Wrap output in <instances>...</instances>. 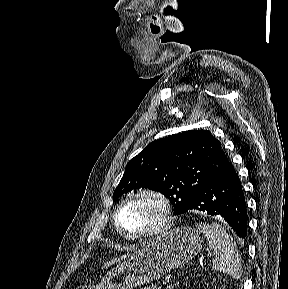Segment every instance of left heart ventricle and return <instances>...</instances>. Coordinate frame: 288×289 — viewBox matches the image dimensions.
<instances>
[{
    "mask_svg": "<svg viewBox=\"0 0 288 289\" xmlns=\"http://www.w3.org/2000/svg\"><path fill=\"white\" fill-rule=\"evenodd\" d=\"M162 218L159 202L147 196L138 197L128 203L120 214L122 227L130 233H140L156 227Z\"/></svg>",
    "mask_w": 288,
    "mask_h": 289,
    "instance_id": "left-heart-ventricle-1",
    "label": "left heart ventricle"
}]
</instances>
